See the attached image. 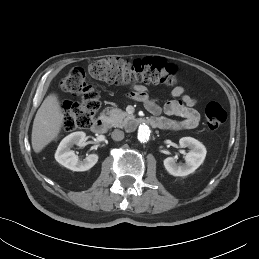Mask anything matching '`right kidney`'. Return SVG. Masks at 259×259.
Masks as SVG:
<instances>
[{
	"label": "right kidney",
	"instance_id": "right-kidney-1",
	"mask_svg": "<svg viewBox=\"0 0 259 259\" xmlns=\"http://www.w3.org/2000/svg\"><path fill=\"white\" fill-rule=\"evenodd\" d=\"M85 137L84 132H73L66 136L56 150V161L73 171H86L92 168L98 161L97 154H90L83 161H80L74 151L71 150L73 145H81Z\"/></svg>",
	"mask_w": 259,
	"mask_h": 259
}]
</instances>
